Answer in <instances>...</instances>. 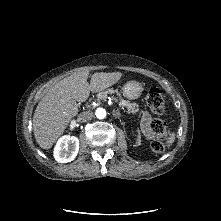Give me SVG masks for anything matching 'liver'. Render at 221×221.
Segmentation results:
<instances>
[{
  "mask_svg": "<svg viewBox=\"0 0 221 221\" xmlns=\"http://www.w3.org/2000/svg\"><path fill=\"white\" fill-rule=\"evenodd\" d=\"M88 71L76 72L55 84L38 103L33 116L36 142L50 149L61 137L70 120L78 114V102H84L91 92H100L122 77L121 72L94 73L90 84Z\"/></svg>",
  "mask_w": 221,
  "mask_h": 221,
  "instance_id": "obj_1",
  "label": "liver"
}]
</instances>
